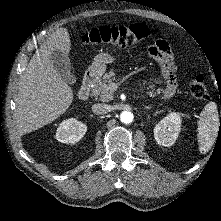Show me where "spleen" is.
I'll return each mask as SVG.
<instances>
[{
  "label": "spleen",
  "mask_w": 221,
  "mask_h": 221,
  "mask_svg": "<svg viewBox=\"0 0 221 221\" xmlns=\"http://www.w3.org/2000/svg\"><path fill=\"white\" fill-rule=\"evenodd\" d=\"M219 130V115L214 102L208 103L202 110L198 121V144L202 154L213 146Z\"/></svg>",
  "instance_id": "spleen-1"
}]
</instances>
